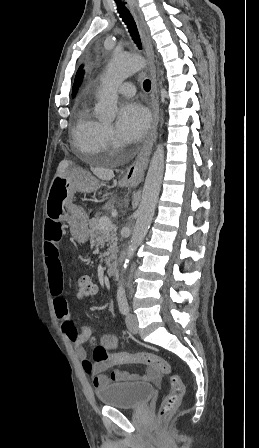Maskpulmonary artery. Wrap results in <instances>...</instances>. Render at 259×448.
<instances>
[{"label":"pulmonary artery","mask_w":259,"mask_h":448,"mask_svg":"<svg viewBox=\"0 0 259 448\" xmlns=\"http://www.w3.org/2000/svg\"><path fill=\"white\" fill-rule=\"evenodd\" d=\"M140 55L137 53L134 54H126L124 59L117 63V69L119 72V79L123 81L131 74L135 73L138 70V64L133 60L139 59ZM116 92L123 95L131 96L135 93L134 89H129L125 87H121L119 85L115 88Z\"/></svg>","instance_id":"pulmonary-artery-1"}]
</instances>
